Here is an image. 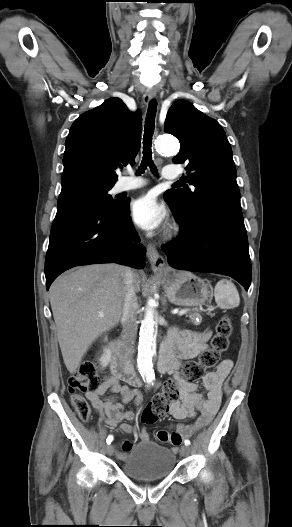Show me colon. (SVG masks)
Masks as SVG:
<instances>
[{"instance_id": "5ec220e1", "label": "colon", "mask_w": 292, "mask_h": 527, "mask_svg": "<svg viewBox=\"0 0 292 527\" xmlns=\"http://www.w3.org/2000/svg\"><path fill=\"white\" fill-rule=\"evenodd\" d=\"M232 331L233 326L230 317L222 316L216 324L210 348L200 355L198 361L187 362L183 366L181 378L188 383L195 384L208 371L216 368L221 360V355L228 349ZM101 367L99 361L84 362L68 379L72 406L83 421H87L91 414L90 406L83 394L99 389L102 380ZM175 398V385L173 383L165 385L163 391L157 394L143 410L142 422L154 424L160 420L168 412L169 404Z\"/></svg>"}]
</instances>
